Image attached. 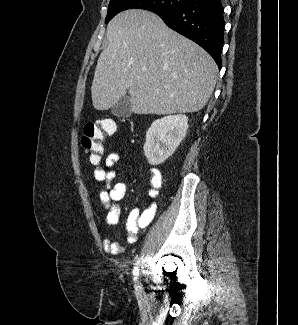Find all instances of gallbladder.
<instances>
[{
	"mask_svg": "<svg viewBox=\"0 0 298 325\" xmlns=\"http://www.w3.org/2000/svg\"><path fill=\"white\" fill-rule=\"evenodd\" d=\"M129 100V96H121L120 100H117V102L111 106L112 114H115V116H130L131 104Z\"/></svg>",
	"mask_w": 298,
	"mask_h": 325,
	"instance_id": "obj_1",
	"label": "gallbladder"
}]
</instances>
